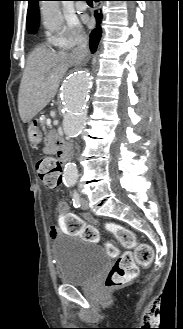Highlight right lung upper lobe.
I'll return each mask as SVG.
<instances>
[{"mask_svg":"<svg viewBox=\"0 0 183 329\" xmlns=\"http://www.w3.org/2000/svg\"><path fill=\"white\" fill-rule=\"evenodd\" d=\"M40 0H28L29 6L27 11V30L30 33L34 28L39 26V6Z\"/></svg>","mask_w":183,"mask_h":329,"instance_id":"right-lung-upper-lobe-1","label":"right lung upper lobe"}]
</instances>
